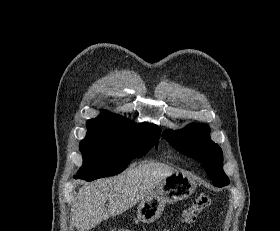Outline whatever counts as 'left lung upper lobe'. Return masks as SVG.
Returning a JSON list of instances; mask_svg holds the SVG:
<instances>
[{"mask_svg": "<svg viewBox=\"0 0 280 231\" xmlns=\"http://www.w3.org/2000/svg\"><path fill=\"white\" fill-rule=\"evenodd\" d=\"M162 137L181 153L200 162L214 186L223 187L229 184L222 168V150L210 139L207 125L191 124L183 130H167Z\"/></svg>", "mask_w": 280, "mask_h": 231, "instance_id": "1", "label": "left lung upper lobe"}]
</instances>
